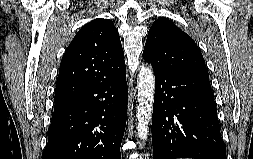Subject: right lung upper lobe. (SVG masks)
<instances>
[{"mask_svg": "<svg viewBox=\"0 0 253 159\" xmlns=\"http://www.w3.org/2000/svg\"><path fill=\"white\" fill-rule=\"evenodd\" d=\"M123 70L124 53L113 22L92 20L79 30L64 53L56 82L55 106Z\"/></svg>", "mask_w": 253, "mask_h": 159, "instance_id": "right-lung-upper-lobe-1", "label": "right lung upper lobe"}]
</instances>
